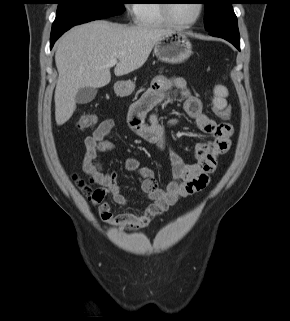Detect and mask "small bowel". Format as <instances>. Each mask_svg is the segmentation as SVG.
I'll use <instances>...</instances> for the list:
<instances>
[{"label":"small bowel","mask_w":290,"mask_h":321,"mask_svg":"<svg viewBox=\"0 0 290 321\" xmlns=\"http://www.w3.org/2000/svg\"><path fill=\"white\" fill-rule=\"evenodd\" d=\"M172 93L184 99L183 109L194 120L197 129L212 136L209 142L195 145L197 162L187 164L168 143L163 125L153 110L162 104ZM221 118V117H220ZM224 119V118H222ZM226 120V119H224ZM128 123L132 131L141 139L155 144L161 151L167 150L171 166L172 180L165 188L158 186L154 171L140 167L139 161L129 158L125 169L142 177V190L150 200V204L142 214L121 213L114 215L110 204L105 200L109 194L112 202L125 206L127 199L121 192L116 172H105L98 156L113 148V143L106 136L116 128L114 119L103 120L85 139L86 152L82 162V170L103 192L102 197L91 199L103 222L121 228H145L152 220L165 212L179 200L203 191L209 183V175L214 170L218 157L225 154L231 145L233 127L228 122L217 123L203 112L199 98L192 95L187 82L182 77L166 78L159 76L153 81L152 87L143 93L130 107ZM179 120H171L177 125Z\"/></svg>","instance_id":"1"}]
</instances>
